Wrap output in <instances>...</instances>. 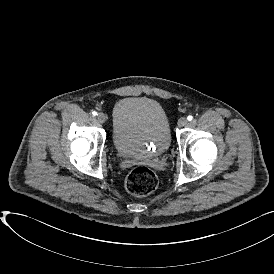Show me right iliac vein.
Returning <instances> with one entry per match:
<instances>
[{
  "label": "right iliac vein",
  "mask_w": 274,
  "mask_h": 274,
  "mask_svg": "<svg viewBox=\"0 0 274 274\" xmlns=\"http://www.w3.org/2000/svg\"><path fill=\"white\" fill-rule=\"evenodd\" d=\"M97 120L100 122V123H104L106 121V116L104 113H98L97 114Z\"/></svg>",
  "instance_id": "63e3f726"
}]
</instances>
